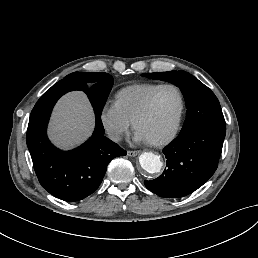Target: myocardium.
I'll use <instances>...</instances> for the list:
<instances>
[{
	"label": "myocardium",
	"instance_id": "obj_1",
	"mask_svg": "<svg viewBox=\"0 0 258 258\" xmlns=\"http://www.w3.org/2000/svg\"><path fill=\"white\" fill-rule=\"evenodd\" d=\"M165 88H171L173 90L176 91L177 95H178V99H179V111H178V115H177V120L175 123V126L172 130V132L164 137V138H159V139H155V138H150V137H146L140 134L139 132V125L141 123V121L147 116L149 109L151 107V103L152 100L155 96V94ZM183 109H184V102H183V97L181 92L179 91V89L177 87H175L174 85L171 84H164V85H160L158 86L147 98L142 110L140 111V113L138 114V116L136 117L135 121H134V131L135 134L138 138L142 139L143 141L152 144V145H165L170 143L176 136L180 124H181V119H182V114H183Z\"/></svg>",
	"mask_w": 258,
	"mask_h": 258
}]
</instances>
